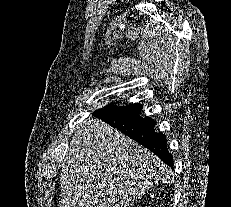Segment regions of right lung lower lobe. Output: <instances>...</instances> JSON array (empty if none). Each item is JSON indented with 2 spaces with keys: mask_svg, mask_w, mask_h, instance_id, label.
Here are the masks:
<instances>
[{
  "mask_svg": "<svg viewBox=\"0 0 231 207\" xmlns=\"http://www.w3.org/2000/svg\"><path fill=\"white\" fill-rule=\"evenodd\" d=\"M141 109L142 105L138 103L126 106L109 105L97 110L94 115L142 144L173 167V157L167 150L165 135L153 130L155 121L152 118L140 116Z\"/></svg>",
  "mask_w": 231,
  "mask_h": 207,
  "instance_id": "98d812e1",
  "label": "right lung lower lobe"
}]
</instances>
